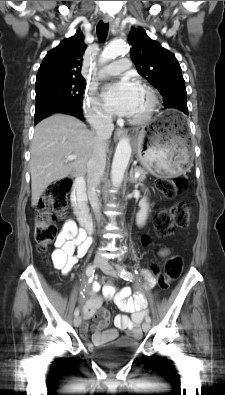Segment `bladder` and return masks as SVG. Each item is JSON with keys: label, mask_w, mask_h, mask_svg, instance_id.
<instances>
[{"label": "bladder", "mask_w": 225, "mask_h": 395, "mask_svg": "<svg viewBox=\"0 0 225 395\" xmlns=\"http://www.w3.org/2000/svg\"><path fill=\"white\" fill-rule=\"evenodd\" d=\"M139 346L140 342L137 340L119 338L104 346L91 345L90 352L97 360L112 363L131 356L138 350Z\"/></svg>", "instance_id": "31cf9c89"}]
</instances>
